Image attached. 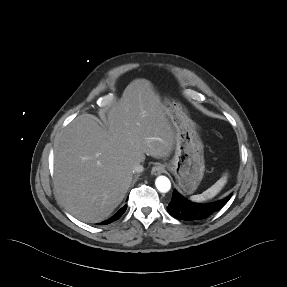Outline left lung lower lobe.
Segmentation results:
<instances>
[{"label":"left lung lower lobe","instance_id":"left-lung-lower-lobe-1","mask_svg":"<svg viewBox=\"0 0 287 287\" xmlns=\"http://www.w3.org/2000/svg\"><path fill=\"white\" fill-rule=\"evenodd\" d=\"M231 196L209 204H197L186 200L176 190L173 191L172 199L167 207L168 212L181 220H201L221 209Z\"/></svg>","mask_w":287,"mask_h":287}]
</instances>
